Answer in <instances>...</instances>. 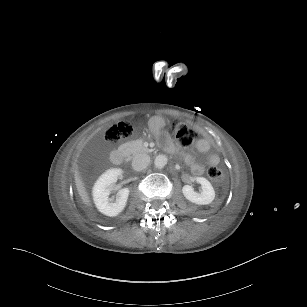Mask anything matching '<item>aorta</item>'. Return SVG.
<instances>
[{
	"label": "aorta",
	"instance_id": "762f6f07",
	"mask_svg": "<svg viewBox=\"0 0 307 307\" xmlns=\"http://www.w3.org/2000/svg\"><path fill=\"white\" fill-rule=\"evenodd\" d=\"M168 162V158L165 155H158L154 160V165L157 168H163Z\"/></svg>",
	"mask_w": 307,
	"mask_h": 307
}]
</instances>
